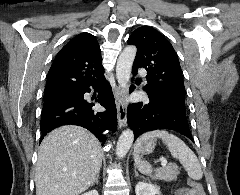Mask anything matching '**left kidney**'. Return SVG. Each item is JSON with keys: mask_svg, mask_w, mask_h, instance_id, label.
I'll return each instance as SVG.
<instances>
[{"mask_svg": "<svg viewBox=\"0 0 240 195\" xmlns=\"http://www.w3.org/2000/svg\"><path fill=\"white\" fill-rule=\"evenodd\" d=\"M136 195H160L159 185H154V183H145V181H138L135 185Z\"/></svg>", "mask_w": 240, "mask_h": 195, "instance_id": "5707ae66", "label": "left kidney"}]
</instances>
